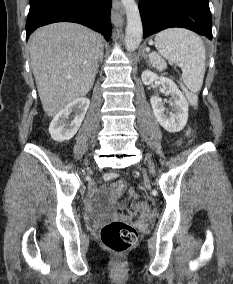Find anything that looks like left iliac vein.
<instances>
[{"label": "left iliac vein", "instance_id": "obj_1", "mask_svg": "<svg viewBox=\"0 0 233 284\" xmlns=\"http://www.w3.org/2000/svg\"><path fill=\"white\" fill-rule=\"evenodd\" d=\"M147 163H148V166H149L151 173H154L155 172V166H154V163L152 162V160L150 158L147 159Z\"/></svg>", "mask_w": 233, "mask_h": 284}]
</instances>
